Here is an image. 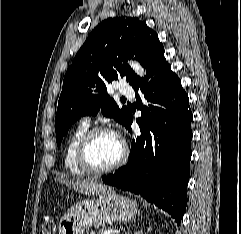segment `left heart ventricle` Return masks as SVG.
Returning a JSON list of instances; mask_svg holds the SVG:
<instances>
[{"label":"left heart ventricle","mask_w":241,"mask_h":234,"mask_svg":"<svg viewBox=\"0 0 241 234\" xmlns=\"http://www.w3.org/2000/svg\"><path fill=\"white\" fill-rule=\"evenodd\" d=\"M123 150L122 142L114 133H100L89 148V160L96 167H106L116 162Z\"/></svg>","instance_id":"obj_1"}]
</instances>
